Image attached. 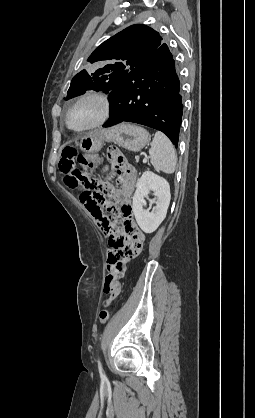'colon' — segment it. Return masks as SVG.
<instances>
[{
	"mask_svg": "<svg viewBox=\"0 0 255 418\" xmlns=\"http://www.w3.org/2000/svg\"><path fill=\"white\" fill-rule=\"evenodd\" d=\"M95 168L96 162L79 153L75 147L67 146L62 150L59 170L64 176L65 185L71 190L80 191V201L96 221L104 222L108 218L104 211L114 213L116 208L106 197V185L92 177ZM112 227L117 226L112 224ZM120 228H138V226L133 220H128ZM109 317V309L103 307L99 313L100 322L105 324Z\"/></svg>",
	"mask_w": 255,
	"mask_h": 418,
	"instance_id": "5ec220e1",
	"label": "colon"
}]
</instances>
